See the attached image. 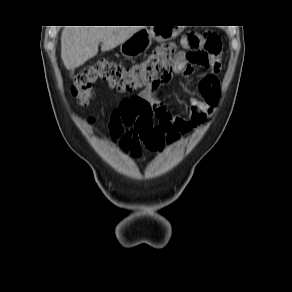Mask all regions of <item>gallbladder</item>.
I'll return each mask as SVG.
<instances>
[{
	"instance_id": "1",
	"label": "gallbladder",
	"mask_w": 292,
	"mask_h": 292,
	"mask_svg": "<svg viewBox=\"0 0 292 292\" xmlns=\"http://www.w3.org/2000/svg\"><path fill=\"white\" fill-rule=\"evenodd\" d=\"M73 72H74V71H73V70H71V74H73Z\"/></svg>"
}]
</instances>
